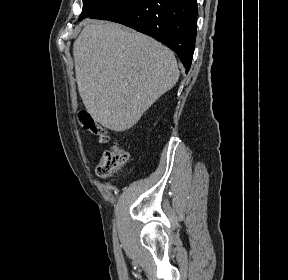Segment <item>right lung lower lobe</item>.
<instances>
[{"label": "right lung lower lobe", "mask_w": 288, "mask_h": 280, "mask_svg": "<svg viewBox=\"0 0 288 280\" xmlns=\"http://www.w3.org/2000/svg\"><path fill=\"white\" fill-rule=\"evenodd\" d=\"M197 13L196 0H112L89 17L121 23L157 39L178 55L188 72Z\"/></svg>", "instance_id": "right-lung-lower-lobe-1"}]
</instances>
